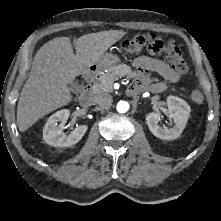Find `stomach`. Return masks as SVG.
<instances>
[{
	"mask_svg": "<svg viewBox=\"0 0 221 221\" xmlns=\"http://www.w3.org/2000/svg\"><path fill=\"white\" fill-rule=\"evenodd\" d=\"M120 62V58L113 53H105L101 56L99 61L97 62V66L100 69H107L112 66H115Z\"/></svg>",
	"mask_w": 221,
	"mask_h": 221,
	"instance_id": "stomach-1",
	"label": "stomach"
}]
</instances>
